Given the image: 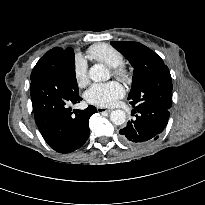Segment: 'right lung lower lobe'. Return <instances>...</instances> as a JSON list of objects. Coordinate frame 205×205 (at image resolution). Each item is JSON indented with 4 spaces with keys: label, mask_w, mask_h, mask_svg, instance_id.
Wrapping results in <instances>:
<instances>
[{
    "label": "right lung lower lobe",
    "mask_w": 205,
    "mask_h": 205,
    "mask_svg": "<svg viewBox=\"0 0 205 205\" xmlns=\"http://www.w3.org/2000/svg\"><path fill=\"white\" fill-rule=\"evenodd\" d=\"M75 56L71 48L60 55L54 65L31 78L30 94L34 117L40 133L57 152L70 153L80 148L89 137V118L97 110H73L68 104L79 103L75 77Z\"/></svg>",
    "instance_id": "1"
}]
</instances>
